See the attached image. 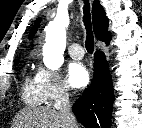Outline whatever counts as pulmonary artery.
Returning a JSON list of instances; mask_svg holds the SVG:
<instances>
[{
    "mask_svg": "<svg viewBox=\"0 0 142 128\" xmlns=\"http://www.w3.org/2000/svg\"><path fill=\"white\" fill-rule=\"evenodd\" d=\"M69 55L76 60H80L84 56V50L81 45L73 43L68 47Z\"/></svg>",
    "mask_w": 142,
    "mask_h": 128,
    "instance_id": "e3ab8cb5",
    "label": "pulmonary artery"
}]
</instances>
